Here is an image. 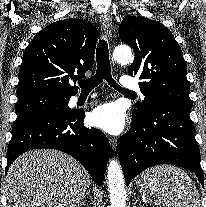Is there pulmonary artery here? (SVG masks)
I'll return each instance as SVG.
<instances>
[{
    "label": "pulmonary artery",
    "mask_w": 206,
    "mask_h": 207,
    "mask_svg": "<svg viewBox=\"0 0 206 207\" xmlns=\"http://www.w3.org/2000/svg\"><path fill=\"white\" fill-rule=\"evenodd\" d=\"M121 83L126 87L129 88L131 90H135L137 92L140 93V88L138 86V84L134 83L132 81V79L129 76H122L121 77ZM96 97H98V93H91L87 99H95Z\"/></svg>",
    "instance_id": "obj_1"
}]
</instances>
